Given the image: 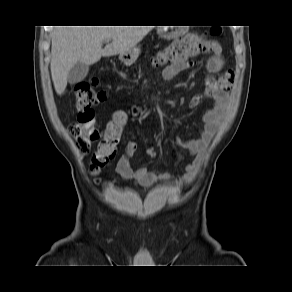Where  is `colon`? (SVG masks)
<instances>
[{
  "instance_id": "5ec220e1",
  "label": "colon",
  "mask_w": 292,
  "mask_h": 292,
  "mask_svg": "<svg viewBox=\"0 0 292 292\" xmlns=\"http://www.w3.org/2000/svg\"><path fill=\"white\" fill-rule=\"evenodd\" d=\"M220 29L213 27L211 35H218ZM212 49L206 35L192 34L173 42L155 58L157 65H171L183 62L191 56L206 53ZM106 98L103 91L97 90L94 84L80 82L75 87V105L78 112L77 121L69 127V133L74 138L77 149L81 154L89 152L91 145L98 141V147L93 153L90 162L92 174H98L101 169L114 158L123 127L127 120V114L119 111L114 114L104 129H101L95 118L93 107ZM148 158L154 160L159 151L154 146L146 150Z\"/></svg>"
}]
</instances>
